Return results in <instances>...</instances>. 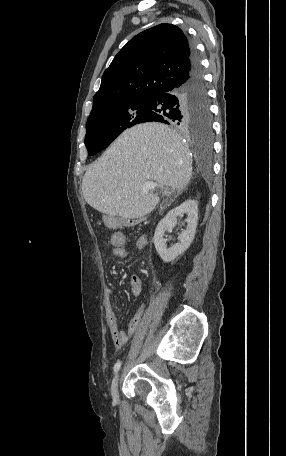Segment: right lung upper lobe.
Returning <instances> with one entry per match:
<instances>
[{
  "label": "right lung upper lobe",
  "instance_id": "cb5924a9",
  "mask_svg": "<svg viewBox=\"0 0 286 456\" xmlns=\"http://www.w3.org/2000/svg\"><path fill=\"white\" fill-rule=\"evenodd\" d=\"M191 48L183 31L172 24H160L136 35L105 70L90 115L109 104L148 99L185 82Z\"/></svg>",
  "mask_w": 286,
  "mask_h": 456
}]
</instances>
